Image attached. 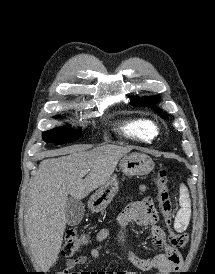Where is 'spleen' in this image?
Here are the masks:
<instances>
[{"mask_svg":"<svg viewBox=\"0 0 215 274\" xmlns=\"http://www.w3.org/2000/svg\"><path fill=\"white\" fill-rule=\"evenodd\" d=\"M179 203L181 209L178 211L175 218L174 228L176 231L181 232L187 226L191 214L188 190L183 184L180 186Z\"/></svg>","mask_w":215,"mask_h":274,"instance_id":"1","label":"spleen"}]
</instances>
